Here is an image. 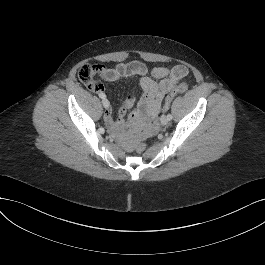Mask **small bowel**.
<instances>
[{
	"mask_svg": "<svg viewBox=\"0 0 265 265\" xmlns=\"http://www.w3.org/2000/svg\"><path fill=\"white\" fill-rule=\"evenodd\" d=\"M101 67V76L109 82H114L123 77H140V86L142 89V96L138 104V108L132 112L131 121L133 123L141 121L149 123L154 120L162 109V102L165 96L175 87L188 73L184 65H176L172 68L155 67L148 72L145 64L139 61L129 63L119 62L114 67ZM96 93H104L105 88L102 84H94L89 87ZM135 97L128 96L120 110L119 117L115 121L107 110L104 114V121L111 130H117L124 124L125 116L128 110L134 105Z\"/></svg>",
	"mask_w": 265,
	"mask_h": 265,
	"instance_id": "obj_1",
	"label": "small bowel"
}]
</instances>
